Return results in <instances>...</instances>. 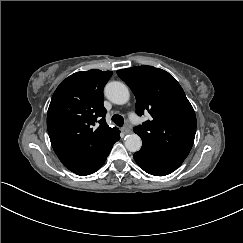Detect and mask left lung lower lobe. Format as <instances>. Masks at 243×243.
Here are the masks:
<instances>
[{"instance_id": "left-lung-lower-lobe-1", "label": "left lung lower lobe", "mask_w": 243, "mask_h": 243, "mask_svg": "<svg viewBox=\"0 0 243 243\" xmlns=\"http://www.w3.org/2000/svg\"><path fill=\"white\" fill-rule=\"evenodd\" d=\"M134 159L141 169L154 176L168 175L184 161L182 158L165 155L144 146L134 154Z\"/></svg>"}]
</instances>
